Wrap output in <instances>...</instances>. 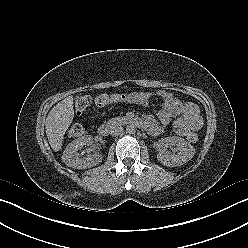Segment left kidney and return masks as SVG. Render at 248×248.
Wrapping results in <instances>:
<instances>
[{"label": "left kidney", "mask_w": 248, "mask_h": 248, "mask_svg": "<svg viewBox=\"0 0 248 248\" xmlns=\"http://www.w3.org/2000/svg\"><path fill=\"white\" fill-rule=\"evenodd\" d=\"M176 146L179 150L177 154H171L167 148ZM159 153L157 159L165 166H180L193 158L195 148L185 139L177 136L165 137L159 140Z\"/></svg>", "instance_id": "left-kidney-1"}]
</instances>
